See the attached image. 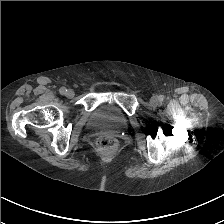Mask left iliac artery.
Returning a JSON list of instances; mask_svg holds the SVG:
<instances>
[{"instance_id": "1", "label": "left iliac artery", "mask_w": 224, "mask_h": 224, "mask_svg": "<svg viewBox=\"0 0 224 224\" xmlns=\"http://www.w3.org/2000/svg\"><path fill=\"white\" fill-rule=\"evenodd\" d=\"M159 100H160V102L164 101V96L163 95H160L159 96Z\"/></svg>"}]
</instances>
